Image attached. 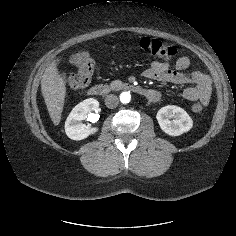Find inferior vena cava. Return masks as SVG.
<instances>
[{
    "mask_svg": "<svg viewBox=\"0 0 236 236\" xmlns=\"http://www.w3.org/2000/svg\"><path fill=\"white\" fill-rule=\"evenodd\" d=\"M118 104H119V99L116 95L110 94L106 96L105 105L108 108H111V109L116 108Z\"/></svg>",
    "mask_w": 236,
    "mask_h": 236,
    "instance_id": "1",
    "label": "inferior vena cava"
}]
</instances>
